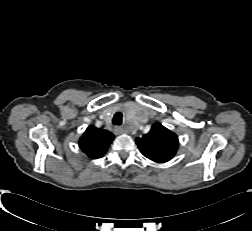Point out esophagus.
Wrapping results in <instances>:
<instances>
[{"mask_svg":"<svg viewBox=\"0 0 252 231\" xmlns=\"http://www.w3.org/2000/svg\"><path fill=\"white\" fill-rule=\"evenodd\" d=\"M114 132L115 134L119 135V134H122L124 132L123 128L119 127V126H116L114 128Z\"/></svg>","mask_w":252,"mask_h":231,"instance_id":"34e87169","label":"esophagus"}]
</instances>
